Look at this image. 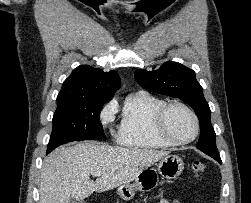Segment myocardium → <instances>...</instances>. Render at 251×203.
Segmentation results:
<instances>
[{
	"label": "myocardium",
	"instance_id": "obj_1",
	"mask_svg": "<svg viewBox=\"0 0 251 203\" xmlns=\"http://www.w3.org/2000/svg\"><path fill=\"white\" fill-rule=\"evenodd\" d=\"M173 107L183 108L190 114V116L192 117L194 121V126H195L194 132L192 136H190L187 139H183V140L176 139L172 137L171 135H169L168 132L166 131V127H165L166 117L169 110ZM152 130H153V133L159 139H161L162 141L170 145H186L193 142L197 138L200 131V121L195 111L189 105L181 101H170V102L164 103L155 111L153 115V120H152Z\"/></svg>",
	"mask_w": 251,
	"mask_h": 203
}]
</instances>
